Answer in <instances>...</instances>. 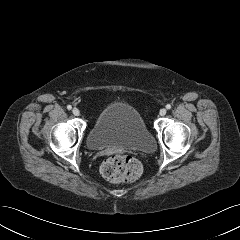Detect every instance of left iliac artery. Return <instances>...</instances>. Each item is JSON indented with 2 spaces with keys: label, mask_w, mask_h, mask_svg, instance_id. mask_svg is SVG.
<instances>
[{
  "label": "left iliac artery",
  "mask_w": 240,
  "mask_h": 240,
  "mask_svg": "<svg viewBox=\"0 0 240 240\" xmlns=\"http://www.w3.org/2000/svg\"><path fill=\"white\" fill-rule=\"evenodd\" d=\"M166 108H167V109H171V105H170V104H167V105H166Z\"/></svg>",
  "instance_id": "left-iliac-artery-1"
}]
</instances>
